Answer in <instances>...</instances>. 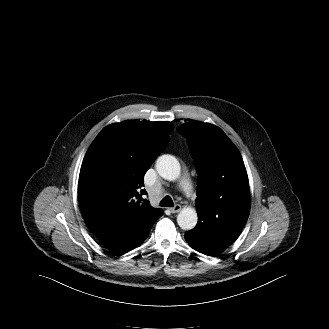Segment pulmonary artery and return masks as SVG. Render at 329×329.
Listing matches in <instances>:
<instances>
[{"label": "pulmonary artery", "instance_id": "e3ab8cb5", "mask_svg": "<svg viewBox=\"0 0 329 329\" xmlns=\"http://www.w3.org/2000/svg\"><path fill=\"white\" fill-rule=\"evenodd\" d=\"M180 186L186 194H190L193 191L192 184L189 179L185 178L181 181Z\"/></svg>", "mask_w": 329, "mask_h": 329}]
</instances>
